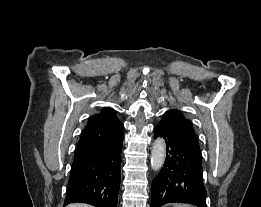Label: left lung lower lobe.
Returning <instances> with one entry per match:
<instances>
[{"label": "left lung lower lobe", "instance_id": "left-lung-lower-lobe-1", "mask_svg": "<svg viewBox=\"0 0 261 207\" xmlns=\"http://www.w3.org/2000/svg\"><path fill=\"white\" fill-rule=\"evenodd\" d=\"M154 134L155 138L165 139L167 155L164 167L151 186V207L170 202L207 207L202 157L197 156L165 122L156 125Z\"/></svg>", "mask_w": 261, "mask_h": 207}]
</instances>
